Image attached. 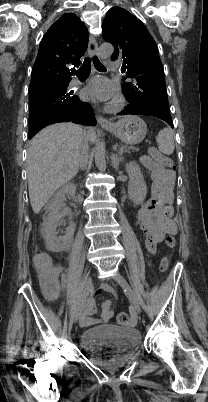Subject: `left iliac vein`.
Here are the masks:
<instances>
[{
	"label": "left iliac vein",
	"instance_id": "left-iliac-vein-1",
	"mask_svg": "<svg viewBox=\"0 0 208 402\" xmlns=\"http://www.w3.org/2000/svg\"><path fill=\"white\" fill-rule=\"evenodd\" d=\"M114 279L123 288L124 292L128 296V298H129L130 302L132 303L133 307L135 308V310L138 313H140L141 307H140L139 301H138L134 291L130 287L129 283L126 281V279L121 275H116L114 277Z\"/></svg>",
	"mask_w": 208,
	"mask_h": 402
}]
</instances>
